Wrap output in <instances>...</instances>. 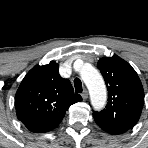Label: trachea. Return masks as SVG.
Returning a JSON list of instances; mask_svg holds the SVG:
<instances>
[{
    "mask_svg": "<svg viewBox=\"0 0 148 148\" xmlns=\"http://www.w3.org/2000/svg\"><path fill=\"white\" fill-rule=\"evenodd\" d=\"M74 87L77 93H82L83 88H82L81 80L79 78L74 79Z\"/></svg>",
    "mask_w": 148,
    "mask_h": 148,
    "instance_id": "obj_1",
    "label": "trachea"
}]
</instances>
